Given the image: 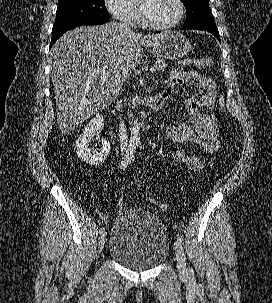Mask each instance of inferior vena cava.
I'll list each match as a JSON object with an SVG mask.
<instances>
[{"label":"inferior vena cava","mask_w":272,"mask_h":303,"mask_svg":"<svg viewBox=\"0 0 272 303\" xmlns=\"http://www.w3.org/2000/svg\"><path fill=\"white\" fill-rule=\"evenodd\" d=\"M121 27L124 31H131L129 24H127L126 21L121 23ZM119 143H120V147L122 150H126L127 146H128V134H127V129H126V125L124 122H120L119 124Z\"/></svg>","instance_id":"602c4592"}]
</instances>
